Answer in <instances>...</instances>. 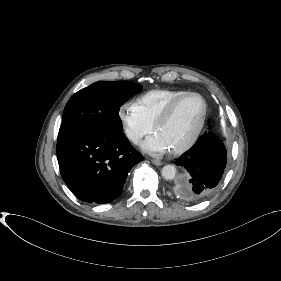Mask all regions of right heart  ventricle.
Here are the masks:
<instances>
[{"mask_svg":"<svg viewBox=\"0 0 281 281\" xmlns=\"http://www.w3.org/2000/svg\"><path fill=\"white\" fill-rule=\"evenodd\" d=\"M187 91L174 89H155L140 95L136 103L142 110L145 117L154 125L158 116L166 106L177 97Z\"/></svg>","mask_w":281,"mask_h":281,"instance_id":"e07e8e85","label":"right heart ventricle"}]
</instances>
